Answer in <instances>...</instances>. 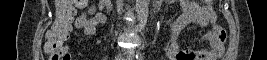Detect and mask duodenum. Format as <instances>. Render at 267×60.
Here are the masks:
<instances>
[{
	"label": "duodenum",
	"instance_id": "duodenum-1",
	"mask_svg": "<svg viewBox=\"0 0 267 60\" xmlns=\"http://www.w3.org/2000/svg\"><path fill=\"white\" fill-rule=\"evenodd\" d=\"M104 2H106V3H110L111 1H109V0H106V1H104Z\"/></svg>",
	"mask_w": 267,
	"mask_h": 60
}]
</instances>
